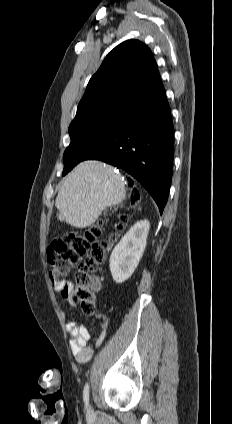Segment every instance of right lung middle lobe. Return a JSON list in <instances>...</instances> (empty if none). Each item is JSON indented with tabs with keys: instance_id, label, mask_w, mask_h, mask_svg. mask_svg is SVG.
Masks as SVG:
<instances>
[{
	"instance_id": "right-lung-middle-lobe-1",
	"label": "right lung middle lobe",
	"mask_w": 232,
	"mask_h": 424,
	"mask_svg": "<svg viewBox=\"0 0 232 424\" xmlns=\"http://www.w3.org/2000/svg\"><path fill=\"white\" fill-rule=\"evenodd\" d=\"M132 105L109 103L76 113L69 126L70 145L64 152L63 175L83 161L105 138L128 120Z\"/></svg>"
}]
</instances>
